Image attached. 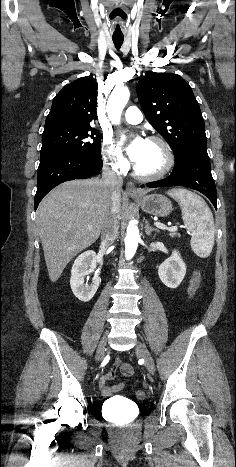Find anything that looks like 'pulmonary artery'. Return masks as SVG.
<instances>
[{
    "mask_svg": "<svg viewBox=\"0 0 236 467\" xmlns=\"http://www.w3.org/2000/svg\"><path fill=\"white\" fill-rule=\"evenodd\" d=\"M124 119L130 124H138L142 121L143 115L136 106H130L125 111Z\"/></svg>",
    "mask_w": 236,
    "mask_h": 467,
    "instance_id": "pulmonary-artery-1",
    "label": "pulmonary artery"
}]
</instances>
